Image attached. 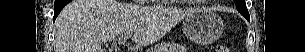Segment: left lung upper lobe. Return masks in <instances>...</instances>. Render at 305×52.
<instances>
[{"mask_svg": "<svg viewBox=\"0 0 305 52\" xmlns=\"http://www.w3.org/2000/svg\"><path fill=\"white\" fill-rule=\"evenodd\" d=\"M237 10L246 18L249 19V13L245 4V0H235Z\"/></svg>", "mask_w": 305, "mask_h": 52, "instance_id": "obj_1", "label": "left lung upper lobe"}]
</instances>
